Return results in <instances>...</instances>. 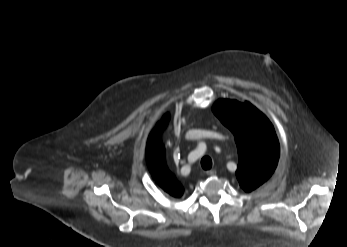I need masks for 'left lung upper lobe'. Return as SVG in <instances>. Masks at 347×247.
Returning a JSON list of instances; mask_svg holds the SVG:
<instances>
[{"label": "left lung upper lobe", "instance_id": "left-lung-upper-lobe-1", "mask_svg": "<svg viewBox=\"0 0 347 247\" xmlns=\"http://www.w3.org/2000/svg\"><path fill=\"white\" fill-rule=\"evenodd\" d=\"M214 114L234 134L239 163L240 186L250 192L274 172L280 154L279 141L268 118L249 102L219 99Z\"/></svg>", "mask_w": 347, "mask_h": 247}]
</instances>
